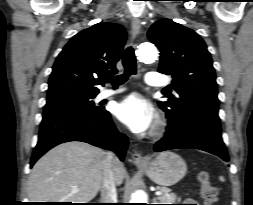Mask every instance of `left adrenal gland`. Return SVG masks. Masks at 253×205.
I'll use <instances>...</instances> for the list:
<instances>
[{"mask_svg":"<svg viewBox=\"0 0 253 205\" xmlns=\"http://www.w3.org/2000/svg\"><path fill=\"white\" fill-rule=\"evenodd\" d=\"M153 204H158L157 198H153Z\"/></svg>","mask_w":253,"mask_h":205,"instance_id":"1","label":"left adrenal gland"}]
</instances>
